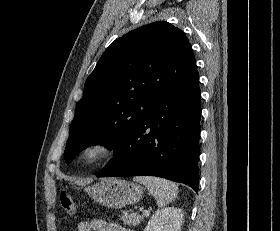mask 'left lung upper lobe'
I'll return each instance as SVG.
<instances>
[{
	"label": "left lung upper lobe",
	"mask_w": 280,
	"mask_h": 231,
	"mask_svg": "<svg viewBox=\"0 0 280 231\" xmlns=\"http://www.w3.org/2000/svg\"><path fill=\"white\" fill-rule=\"evenodd\" d=\"M197 70L183 32L154 22L115 40L85 82L64 152L70 163L83 149H116L170 88Z\"/></svg>",
	"instance_id": "1"
}]
</instances>
